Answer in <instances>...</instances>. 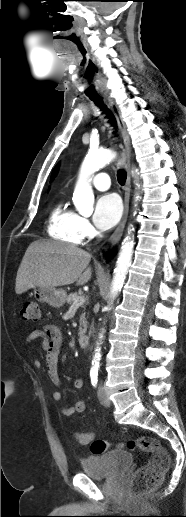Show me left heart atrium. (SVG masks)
Segmentation results:
<instances>
[{
    "label": "left heart atrium",
    "instance_id": "obj_1",
    "mask_svg": "<svg viewBox=\"0 0 186 517\" xmlns=\"http://www.w3.org/2000/svg\"><path fill=\"white\" fill-rule=\"evenodd\" d=\"M122 203L116 194L101 196L96 203L93 221L100 230L112 228L120 219Z\"/></svg>",
    "mask_w": 186,
    "mask_h": 517
}]
</instances>
